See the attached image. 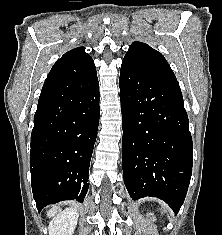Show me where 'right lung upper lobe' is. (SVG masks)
<instances>
[{
	"label": "right lung upper lobe",
	"instance_id": "1",
	"mask_svg": "<svg viewBox=\"0 0 222 235\" xmlns=\"http://www.w3.org/2000/svg\"><path fill=\"white\" fill-rule=\"evenodd\" d=\"M92 57L85 52L84 47H77L66 52L56 61L46 80L64 82L84 76L95 71Z\"/></svg>",
	"mask_w": 222,
	"mask_h": 235
}]
</instances>
